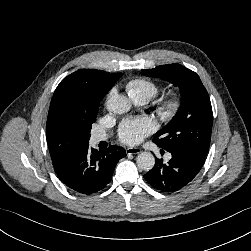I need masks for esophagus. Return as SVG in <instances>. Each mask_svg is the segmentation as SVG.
<instances>
[{
	"mask_svg": "<svg viewBox=\"0 0 251 251\" xmlns=\"http://www.w3.org/2000/svg\"><path fill=\"white\" fill-rule=\"evenodd\" d=\"M141 152V149L138 148V147H129L126 149V153L128 155H131V154H139Z\"/></svg>",
	"mask_w": 251,
	"mask_h": 251,
	"instance_id": "esophagus-1",
	"label": "esophagus"
}]
</instances>
